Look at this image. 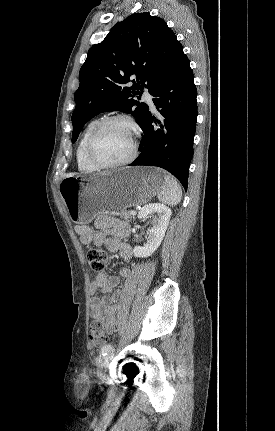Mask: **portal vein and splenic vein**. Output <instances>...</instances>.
<instances>
[{"mask_svg": "<svg viewBox=\"0 0 275 431\" xmlns=\"http://www.w3.org/2000/svg\"><path fill=\"white\" fill-rule=\"evenodd\" d=\"M130 214H131V215H136V211H135V210H131V211H130Z\"/></svg>", "mask_w": 275, "mask_h": 431, "instance_id": "18ae733b", "label": "portal vein and splenic vein"}]
</instances>
